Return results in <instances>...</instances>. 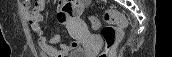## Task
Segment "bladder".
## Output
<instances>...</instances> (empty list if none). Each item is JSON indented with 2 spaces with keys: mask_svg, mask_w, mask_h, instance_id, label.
I'll return each mask as SVG.
<instances>
[{
  "mask_svg": "<svg viewBox=\"0 0 172 57\" xmlns=\"http://www.w3.org/2000/svg\"><path fill=\"white\" fill-rule=\"evenodd\" d=\"M68 57H86L83 53H75L72 55H69Z\"/></svg>",
  "mask_w": 172,
  "mask_h": 57,
  "instance_id": "bladder-1",
  "label": "bladder"
}]
</instances>
